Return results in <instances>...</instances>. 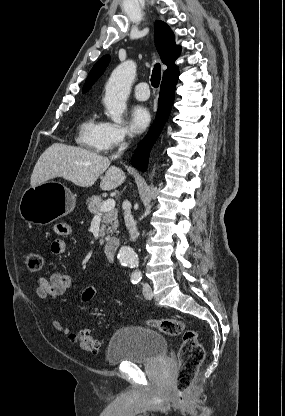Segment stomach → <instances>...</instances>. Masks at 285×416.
Here are the masks:
<instances>
[{
    "mask_svg": "<svg viewBox=\"0 0 285 416\" xmlns=\"http://www.w3.org/2000/svg\"><path fill=\"white\" fill-rule=\"evenodd\" d=\"M75 208V196L60 182H45L25 190L19 204L21 218L28 224L46 226L67 216Z\"/></svg>",
    "mask_w": 285,
    "mask_h": 416,
    "instance_id": "0dacf381",
    "label": "stomach"
}]
</instances>
